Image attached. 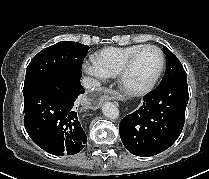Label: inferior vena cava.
I'll use <instances>...</instances> for the list:
<instances>
[{
    "instance_id": "obj_1",
    "label": "inferior vena cava",
    "mask_w": 209,
    "mask_h": 179,
    "mask_svg": "<svg viewBox=\"0 0 209 179\" xmlns=\"http://www.w3.org/2000/svg\"><path fill=\"white\" fill-rule=\"evenodd\" d=\"M82 85L84 88L90 89V88L99 86V82L93 78L84 77L82 79Z\"/></svg>"
}]
</instances>
